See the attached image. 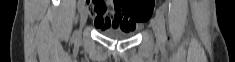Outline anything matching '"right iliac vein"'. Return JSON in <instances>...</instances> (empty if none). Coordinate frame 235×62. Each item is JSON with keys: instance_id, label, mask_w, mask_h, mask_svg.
I'll list each match as a JSON object with an SVG mask.
<instances>
[{"instance_id": "right-iliac-vein-1", "label": "right iliac vein", "mask_w": 235, "mask_h": 62, "mask_svg": "<svg viewBox=\"0 0 235 62\" xmlns=\"http://www.w3.org/2000/svg\"><path fill=\"white\" fill-rule=\"evenodd\" d=\"M87 21V11L85 8L82 9L81 15H80V29L76 32V38L78 39L81 35V29L85 25Z\"/></svg>"}]
</instances>
